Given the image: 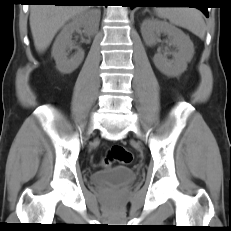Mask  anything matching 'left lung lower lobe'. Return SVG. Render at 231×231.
Wrapping results in <instances>:
<instances>
[{"label":"left lung lower lobe","instance_id":"0a47b994","mask_svg":"<svg viewBox=\"0 0 231 231\" xmlns=\"http://www.w3.org/2000/svg\"><path fill=\"white\" fill-rule=\"evenodd\" d=\"M134 2L141 4L140 6L142 7H145V6L154 7L156 6L157 3H164V2H161V0H134ZM199 5L202 6L203 4H199ZM197 8L200 9L207 17L209 16L207 7H197Z\"/></svg>","mask_w":231,"mask_h":231}]
</instances>
